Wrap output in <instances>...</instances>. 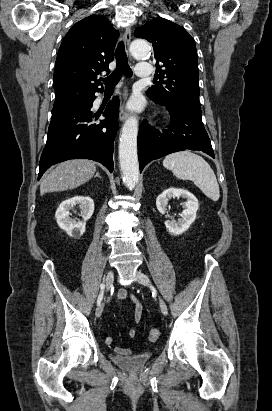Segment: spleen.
<instances>
[{
    "label": "spleen",
    "instance_id": "3e777b00",
    "mask_svg": "<svg viewBox=\"0 0 272 411\" xmlns=\"http://www.w3.org/2000/svg\"><path fill=\"white\" fill-rule=\"evenodd\" d=\"M163 166L181 180H191L211 200L218 201L219 185L210 165L199 155L180 151L167 155Z\"/></svg>",
    "mask_w": 272,
    "mask_h": 411
}]
</instances>
